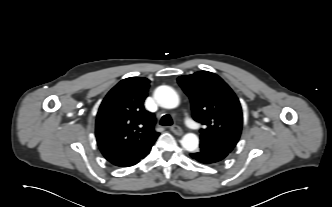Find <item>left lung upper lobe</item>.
<instances>
[{
	"instance_id": "5c2ea615",
	"label": "left lung upper lobe",
	"mask_w": 332,
	"mask_h": 207,
	"mask_svg": "<svg viewBox=\"0 0 332 207\" xmlns=\"http://www.w3.org/2000/svg\"><path fill=\"white\" fill-rule=\"evenodd\" d=\"M178 83L191 101L192 116L204 125L200 145L230 153L242 129V109L232 89L216 74L199 71Z\"/></svg>"
}]
</instances>
